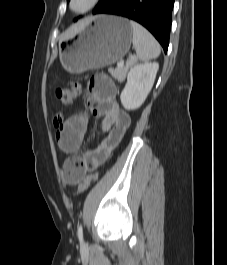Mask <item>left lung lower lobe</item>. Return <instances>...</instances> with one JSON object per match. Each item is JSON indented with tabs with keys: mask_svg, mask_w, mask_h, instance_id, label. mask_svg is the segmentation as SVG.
Returning a JSON list of instances; mask_svg holds the SVG:
<instances>
[{
	"mask_svg": "<svg viewBox=\"0 0 227 265\" xmlns=\"http://www.w3.org/2000/svg\"><path fill=\"white\" fill-rule=\"evenodd\" d=\"M174 0H108L93 14H114L135 20L146 27L162 45H169Z\"/></svg>",
	"mask_w": 227,
	"mask_h": 265,
	"instance_id": "left-lung-lower-lobe-1",
	"label": "left lung lower lobe"
}]
</instances>
